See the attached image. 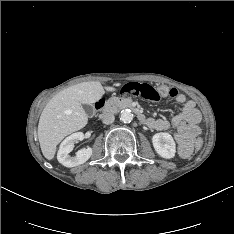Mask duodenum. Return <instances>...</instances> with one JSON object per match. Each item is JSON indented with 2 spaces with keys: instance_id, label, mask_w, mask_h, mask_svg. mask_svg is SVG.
<instances>
[{
  "instance_id": "obj_1",
  "label": "duodenum",
  "mask_w": 234,
  "mask_h": 234,
  "mask_svg": "<svg viewBox=\"0 0 234 234\" xmlns=\"http://www.w3.org/2000/svg\"><path fill=\"white\" fill-rule=\"evenodd\" d=\"M100 106L102 107V111L104 113H110V112H113L116 110H121V109H130L136 114V116L140 122H142L144 124H147V122H148V119L146 118L144 113L131 100H114V101H111L107 104L101 103Z\"/></svg>"
}]
</instances>
